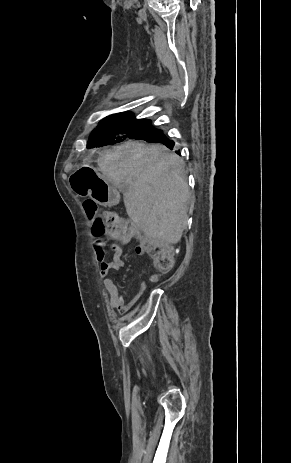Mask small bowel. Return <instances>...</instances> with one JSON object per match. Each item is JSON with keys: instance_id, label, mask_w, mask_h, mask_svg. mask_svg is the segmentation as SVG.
Wrapping results in <instances>:
<instances>
[{"instance_id": "1", "label": "small bowel", "mask_w": 291, "mask_h": 463, "mask_svg": "<svg viewBox=\"0 0 291 463\" xmlns=\"http://www.w3.org/2000/svg\"><path fill=\"white\" fill-rule=\"evenodd\" d=\"M118 240L119 242H114L110 244L109 246L110 250L113 253V257L110 260H108L106 257V253L104 250V243H99L96 241L94 243V250H95L96 259L100 264L99 273H100V276L102 277L103 287L109 295L110 305L114 310H116L120 314H126L133 307V305L138 301L141 294L146 289L148 282L143 280L140 283L137 293L131 298V300L128 303L125 302L124 297L120 293L118 286L113 281V279L110 278L111 270L120 271L125 266V263L122 259L123 250H122L121 244H124L128 242L129 240H121V239H118ZM135 251L139 255H142L144 253L143 251L140 250L138 245L136 246ZM156 279H157V276L153 275L151 276L150 280L153 281Z\"/></svg>"}]
</instances>
